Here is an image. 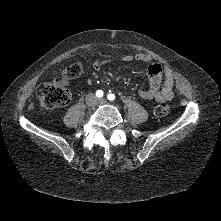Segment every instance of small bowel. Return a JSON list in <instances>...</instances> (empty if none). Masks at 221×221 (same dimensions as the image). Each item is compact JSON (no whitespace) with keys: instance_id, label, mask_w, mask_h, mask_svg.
<instances>
[{"instance_id":"obj_1","label":"small bowel","mask_w":221,"mask_h":221,"mask_svg":"<svg viewBox=\"0 0 221 221\" xmlns=\"http://www.w3.org/2000/svg\"><path fill=\"white\" fill-rule=\"evenodd\" d=\"M110 60L111 57L103 56L100 59L93 61L92 66L95 69H99L103 64ZM121 60L125 62L138 61L148 64L149 85L147 88L139 91V96L141 98L156 102L169 101L173 98L175 80L169 69H164L159 63L153 62L149 55L143 53L124 55L121 57ZM120 79L121 77L117 78V80ZM91 82L92 80L89 79L88 83Z\"/></svg>"}]
</instances>
